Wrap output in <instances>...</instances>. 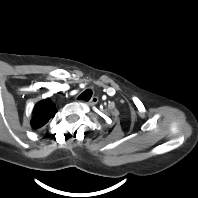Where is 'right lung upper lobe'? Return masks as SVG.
Returning a JSON list of instances; mask_svg holds the SVG:
<instances>
[{"label":"right lung upper lobe","instance_id":"1","mask_svg":"<svg viewBox=\"0 0 198 198\" xmlns=\"http://www.w3.org/2000/svg\"><path fill=\"white\" fill-rule=\"evenodd\" d=\"M57 112L55 104L50 98L38 102L33 109L31 127L38 129L43 127Z\"/></svg>","mask_w":198,"mask_h":198}]
</instances>
